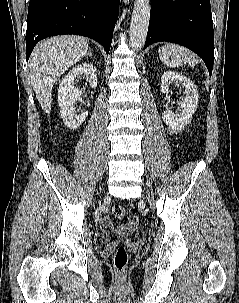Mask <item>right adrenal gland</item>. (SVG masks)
Masks as SVG:
<instances>
[{"instance_id":"obj_1","label":"right adrenal gland","mask_w":239,"mask_h":303,"mask_svg":"<svg viewBox=\"0 0 239 303\" xmlns=\"http://www.w3.org/2000/svg\"><path fill=\"white\" fill-rule=\"evenodd\" d=\"M88 55H89V56H91V55H92L91 49H89V53H88Z\"/></svg>"}]
</instances>
